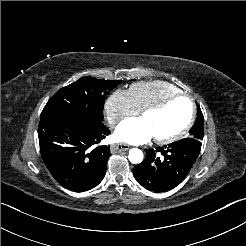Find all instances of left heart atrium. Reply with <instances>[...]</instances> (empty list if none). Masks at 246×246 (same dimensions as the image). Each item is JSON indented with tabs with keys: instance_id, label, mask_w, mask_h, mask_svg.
Masks as SVG:
<instances>
[{
	"instance_id": "left-heart-atrium-1",
	"label": "left heart atrium",
	"mask_w": 246,
	"mask_h": 246,
	"mask_svg": "<svg viewBox=\"0 0 246 246\" xmlns=\"http://www.w3.org/2000/svg\"><path fill=\"white\" fill-rule=\"evenodd\" d=\"M115 137L120 142L142 144L148 142L153 135L142 119L131 118L118 125Z\"/></svg>"
}]
</instances>
